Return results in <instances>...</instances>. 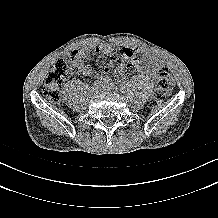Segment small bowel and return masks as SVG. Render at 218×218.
<instances>
[{
	"label": "small bowel",
	"instance_id": "obj_1",
	"mask_svg": "<svg viewBox=\"0 0 218 218\" xmlns=\"http://www.w3.org/2000/svg\"><path fill=\"white\" fill-rule=\"evenodd\" d=\"M110 53H112L111 62L120 64L121 71L117 73L119 80L124 79L134 71H139L152 78H156L158 70L161 68L159 58L149 51L140 50L139 48L115 47L112 44H103L98 47H89L74 51L71 55V72L73 74L82 73L85 76H89L92 74V67L84 66L87 57L96 55L99 60ZM136 54H140L141 58H137ZM108 72V68L104 69L103 72L97 75V78H104Z\"/></svg>",
	"mask_w": 218,
	"mask_h": 218
}]
</instances>
